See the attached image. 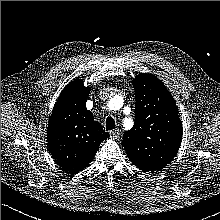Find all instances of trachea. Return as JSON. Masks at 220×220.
Instances as JSON below:
<instances>
[{
  "mask_svg": "<svg viewBox=\"0 0 220 220\" xmlns=\"http://www.w3.org/2000/svg\"><path fill=\"white\" fill-rule=\"evenodd\" d=\"M115 129V121L112 117H107L106 119V130Z\"/></svg>",
  "mask_w": 220,
  "mask_h": 220,
  "instance_id": "trachea-1",
  "label": "trachea"
}]
</instances>
